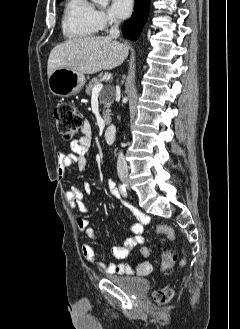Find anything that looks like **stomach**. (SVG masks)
<instances>
[{
    "instance_id": "0dacf381",
    "label": "stomach",
    "mask_w": 240,
    "mask_h": 329,
    "mask_svg": "<svg viewBox=\"0 0 240 329\" xmlns=\"http://www.w3.org/2000/svg\"><path fill=\"white\" fill-rule=\"evenodd\" d=\"M84 84V74L68 68H58L48 77L49 90L53 95L59 97L77 94Z\"/></svg>"
}]
</instances>
